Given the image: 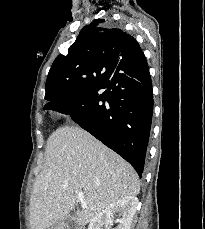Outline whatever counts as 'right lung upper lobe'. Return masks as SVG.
I'll return each mask as SVG.
<instances>
[{
	"label": "right lung upper lobe",
	"mask_w": 205,
	"mask_h": 229,
	"mask_svg": "<svg viewBox=\"0 0 205 229\" xmlns=\"http://www.w3.org/2000/svg\"><path fill=\"white\" fill-rule=\"evenodd\" d=\"M143 54L138 42L120 29L97 19L80 31L67 55L53 62L45 85L50 102L85 90L94 77L112 76L119 63L135 64Z\"/></svg>",
	"instance_id": "obj_1"
}]
</instances>
